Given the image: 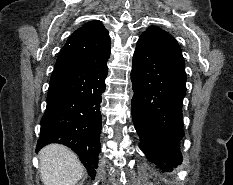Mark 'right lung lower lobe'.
Segmentation results:
<instances>
[{
  "mask_svg": "<svg viewBox=\"0 0 233 185\" xmlns=\"http://www.w3.org/2000/svg\"><path fill=\"white\" fill-rule=\"evenodd\" d=\"M108 74L106 63L54 70L47 107L41 119L36 151L50 143L70 147L94 178L100 152L101 94Z\"/></svg>",
  "mask_w": 233,
  "mask_h": 185,
  "instance_id": "98d812e1",
  "label": "right lung lower lobe"
}]
</instances>
